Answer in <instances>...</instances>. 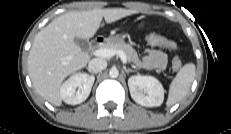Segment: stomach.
I'll return each mask as SVG.
<instances>
[{
    "label": "stomach",
    "mask_w": 231,
    "mask_h": 134,
    "mask_svg": "<svg viewBox=\"0 0 231 134\" xmlns=\"http://www.w3.org/2000/svg\"><path fill=\"white\" fill-rule=\"evenodd\" d=\"M142 27H144V23L139 24V28H142ZM108 40H110V41H122L121 37H119V36L111 37Z\"/></svg>",
    "instance_id": "stomach-1"
}]
</instances>
